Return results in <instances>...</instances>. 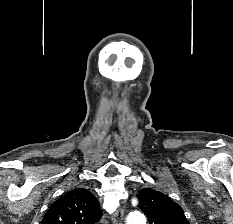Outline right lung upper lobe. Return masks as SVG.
I'll list each match as a JSON object with an SVG mask.
<instances>
[{"label": "right lung upper lobe", "instance_id": "obj_1", "mask_svg": "<svg viewBox=\"0 0 233 224\" xmlns=\"http://www.w3.org/2000/svg\"><path fill=\"white\" fill-rule=\"evenodd\" d=\"M102 217L99 202L87 189L67 192L46 212L41 224H95Z\"/></svg>", "mask_w": 233, "mask_h": 224}]
</instances>
